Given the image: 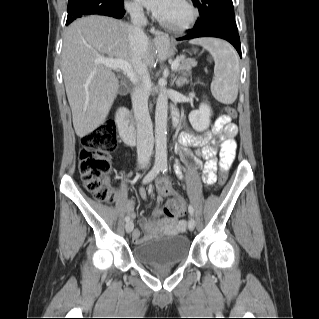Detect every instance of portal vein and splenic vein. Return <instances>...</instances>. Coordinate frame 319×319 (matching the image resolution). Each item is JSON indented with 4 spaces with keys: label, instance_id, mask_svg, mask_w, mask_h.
I'll use <instances>...</instances> for the list:
<instances>
[{
    "label": "portal vein and splenic vein",
    "instance_id": "18ae733b",
    "mask_svg": "<svg viewBox=\"0 0 319 319\" xmlns=\"http://www.w3.org/2000/svg\"><path fill=\"white\" fill-rule=\"evenodd\" d=\"M182 57H180L181 59ZM180 59H176L172 65L171 69L176 70L179 66ZM97 64H103L106 67H109L111 69H121L125 73H127L128 77L131 81L135 82V74L133 72L132 66L129 62L121 60V59H113V58H105V57H99L95 60Z\"/></svg>",
    "mask_w": 319,
    "mask_h": 319
}]
</instances>
